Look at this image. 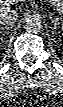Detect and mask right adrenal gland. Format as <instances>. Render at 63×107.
Returning <instances> with one entry per match:
<instances>
[{
  "instance_id": "right-adrenal-gland-1",
  "label": "right adrenal gland",
  "mask_w": 63,
  "mask_h": 107,
  "mask_svg": "<svg viewBox=\"0 0 63 107\" xmlns=\"http://www.w3.org/2000/svg\"><path fill=\"white\" fill-rule=\"evenodd\" d=\"M11 27H7V26H5V27H0V36H5V34H6V31H8L9 29H10Z\"/></svg>"
}]
</instances>
